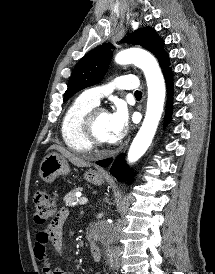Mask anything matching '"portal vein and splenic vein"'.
Listing matches in <instances>:
<instances>
[{
  "label": "portal vein and splenic vein",
  "instance_id": "obj_1",
  "mask_svg": "<svg viewBox=\"0 0 215 274\" xmlns=\"http://www.w3.org/2000/svg\"><path fill=\"white\" fill-rule=\"evenodd\" d=\"M78 202H79L80 205H85L88 202V199L85 198V197H82V198L79 199Z\"/></svg>",
  "mask_w": 215,
  "mask_h": 274
}]
</instances>
